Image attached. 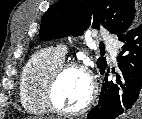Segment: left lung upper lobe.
Segmentation results:
<instances>
[{"instance_id":"left-lung-upper-lobe-1","label":"left lung upper lobe","mask_w":142,"mask_h":119,"mask_svg":"<svg viewBox=\"0 0 142 119\" xmlns=\"http://www.w3.org/2000/svg\"><path fill=\"white\" fill-rule=\"evenodd\" d=\"M141 21L140 5L135 0H59L44 13L40 38L82 35L90 25L120 37ZM97 66L104 71L106 59L100 57Z\"/></svg>"}]
</instances>
